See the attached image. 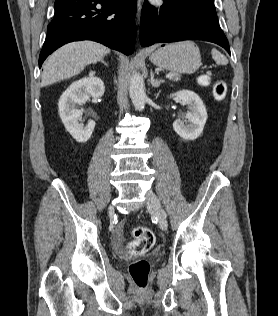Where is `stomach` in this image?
I'll use <instances>...</instances> for the list:
<instances>
[{
	"mask_svg": "<svg viewBox=\"0 0 278 316\" xmlns=\"http://www.w3.org/2000/svg\"><path fill=\"white\" fill-rule=\"evenodd\" d=\"M158 67L176 73L192 74L201 66L199 48L190 41L166 45L149 56Z\"/></svg>",
	"mask_w": 278,
	"mask_h": 316,
	"instance_id": "stomach-1",
	"label": "stomach"
}]
</instances>
